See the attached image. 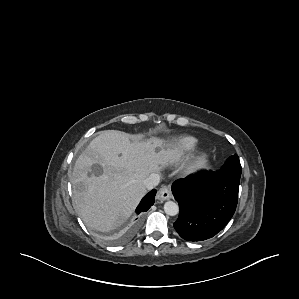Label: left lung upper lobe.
<instances>
[{"mask_svg": "<svg viewBox=\"0 0 299 299\" xmlns=\"http://www.w3.org/2000/svg\"><path fill=\"white\" fill-rule=\"evenodd\" d=\"M241 171L239 157L236 154L230 156L224 166H222V168L219 170V172L229 173L239 177L241 176Z\"/></svg>", "mask_w": 299, "mask_h": 299, "instance_id": "5c2ea615", "label": "left lung upper lobe"}]
</instances>
